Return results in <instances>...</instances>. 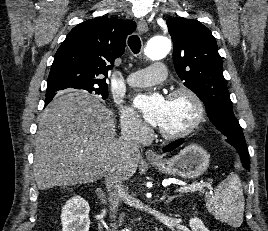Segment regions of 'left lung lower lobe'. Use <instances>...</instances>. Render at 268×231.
I'll list each match as a JSON object with an SVG mask.
<instances>
[{"mask_svg": "<svg viewBox=\"0 0 268 231\" xmlns=\"http://www.w3.org/2000/svg\"><path fill=\"white\" fill-rule=\"evenodd\" d=\"M182 141H183V138L179 139V140H177L175 142L170 143L169 145H167V146H165L163 148V151L164 152H169V151L174 150L175 148H177L178 146H180L182 144ZM235 149L238 151V153L240 155L242 165L247 170H250V160H249V155H248V152H247V148L238 147V148H235Z\"/></svg>", "mask_w": 268, "mask_h": 231, "instance_id": "left-lung-lower-lobe-1", "label": "left lung lower lobe"}]
</instances>
